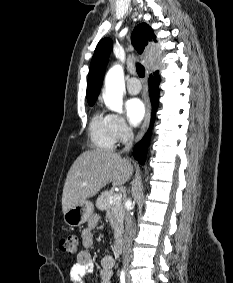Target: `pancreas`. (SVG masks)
Instances as JSON below:
<instances>
[{"instance_id": "cf45deb5", "label": "pancreas", "mask_w": 233, "mask_h": 283, "mask_svg": "<svg viewBox=\"0 0 233 283\" xmlns=\"http://www.w3.org/2000/svg\"><path fill=\"white\" fill-rule=\"evenodd\" d=\"M115 195L113 190L103 191L97 198L96 206L100 210H105L110 216L112 226L114 227V234L117 237L123 229V204L120 201L110 203L109 198Z\"/></svg>"}]
</instances>
